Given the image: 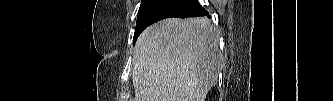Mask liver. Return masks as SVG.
I'll list each match as a JSON object with an SVG mask.
<instances>
[{
    "label": "liver",
    "mask_w": 333,
    "mask_h": 101,
    "mask_svg": "<svg viewBox=\"0 0 333 101\" xmlns=\"http://www.w3.org/2000/svg\"><path fill=\"white\" fill-rule=\"evenodd\" d=\"M222 54L206 17L169 18L148 27L134 48V101H205Z\"/></svg>",
    "instance_id": "liver-1"
}]
</instances>
